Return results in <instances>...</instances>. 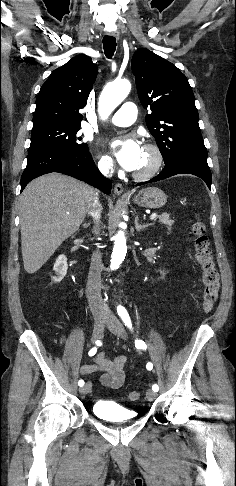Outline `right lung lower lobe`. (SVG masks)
Returning <instances> with one entry per match:
<instances>
[{"label": "right lung lower lobe", "instance_id": "right-lung-lower-lobe-1", "mask_svg": "<svg viewBox=\"0 0 236 486\" xmlns=\"http://www.w3.org/2000/svg\"><path fill=\"white\" fill-rule=\"evenodd\" d=\"M51 172L72 176L86 181L106 194L111 193V181L98 171L88 149L52 147L29 149L27 166L21 177V192L32 179Z\"/></svg>", "mask_w": 236, "mask_h": 486}]
</instances>
